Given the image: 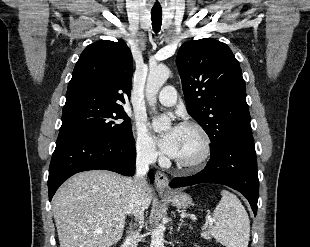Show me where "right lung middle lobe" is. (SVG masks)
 <instances>
[{"label":"right lung middle lobe","mask_w":310,"mask_h":247,"mask_svg":"<svg viewBox=\"0 0 310 247\" xmlns=\"http://www.w3.org/2000/svg\"><path fill=\"white\" fill-rule=\"evenodd\" d=\"M76 130L94 132L113 140L132 134L130 119L123 108L78 106L63 110L60 132Z\"/></svg>","instance_id":"obj_1"}]
</instances>
